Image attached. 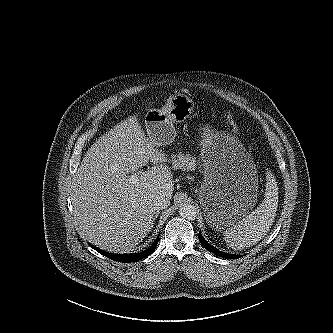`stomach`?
I'll return each instance as SVG.
<instances>
[{"label":"stomach","instance_id":"stomach-1","mask_svg":"<svg viewBox=\"0 0 333 333\" xmlns=\"http://www.w3.org/2000/svg\"><path fill=\"white\" fill-rule=\"evenodd\" d=\"M194 102L176 93L161 109H149L144 116L148 138L156 146L172 143L173 122H183L193 112ZM204 181L199 198L208 225L221 231L245 217L262 194V177L237 138L208 126L199 129Z\"/></svg>","mask_w":333,"mask_h":333}]
</instances>
